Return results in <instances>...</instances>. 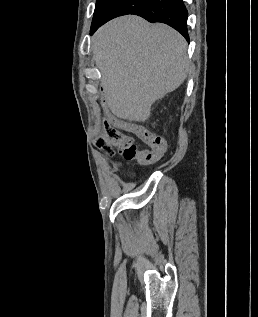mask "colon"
I'll list each match as a JSON object with an SVG mask.
<instances>
[{
  "label": "colon",
  "mask_w": 258,
  "mask_h": 317,
  "mask_svg": "<svg viewBox=\"0 0 258 317\" xmlns=\"http://www.w3.org/2000/svg\"><path fill=\"white\" fill-rule=\"evenodd\" d=\"M119 119L115 116L108 117L101 146L109 151L116 150L125 159L137 160L141 164L150 165L158 162L162 158L161 152L140 148L131 136L115 127V122Z\"/></svg>",
  "instance_id": "colon-1"
}]
</instances>
